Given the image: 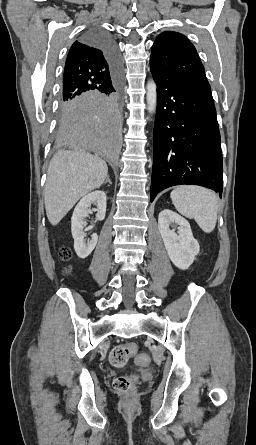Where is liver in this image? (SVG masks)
Masks as SVG:
<instances>
[{
	"instance_id": "1",
	"label": "liver",
	"mask_w": 256,
	"mask_h": 445,
	"mask_svg": "<svg viewBox=\"0 0 256 445\" xmlns=\"http://www.w3.org/2000/svg\"><path fill=\"white\" fill-rule=\"evenodd\" d=\"M107 174L108 167L103 159L59 150L49 164L45 184L44 201L49 222L57 225L81 197L104 183Z\"/></svg>"
}]
</instances>
